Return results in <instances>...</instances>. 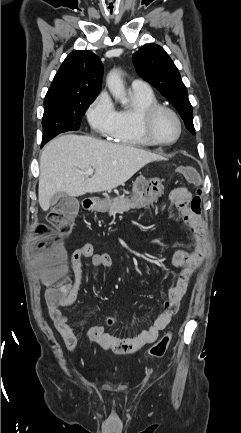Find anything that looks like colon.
<instances>
[{
  "instance_id": "1",
  "label": "colon",
  "mask_w": 241,
  "mask_h": 433,
  "mask_svg": "<svg viewBox=\"0 0 241 433\" xmlns=\"http://www.w3.org/2000/svg\"><path fill=\"white\" fill-rule=\"evenodd\" d=\"M181 177H188L192 183L198 184L201 178L195 174L194 168H181ZM201 191H198L192 201V210L200 211ZM79 208L77 200H57L54 211L50 217L52 223L61 233H66L72 224L71 214H78ZM37 241L35 242L34 252L39 266V271L43 281L47 284L46 300L49 305L55 306L60 301L69 296L68 284L65 279L66 260L64 255V245L60 239L50 240L46 228L36 232ZM189 278L180 276L178 286L184 289L188 285ZM119 319L108 318L105 323L108 325L119 324ZM172 334H164L149 350L148 354L152 358H162L171 343ZM110 346L117 351L123 350L127 345L124 342H110Z\"/></svg>"
}]
</instances>
